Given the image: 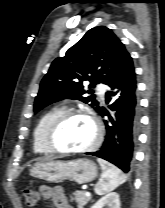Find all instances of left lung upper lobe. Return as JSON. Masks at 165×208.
I'll use <instances>...</instances> for the list:
<instances>
[{"label": "left lung upper lobe", "instance_id": "obj_1", "mask_svg": "<svg viewBox=\"0 0 165 208\" xmlns=\"http://www.w3.org/2000/svg\"><path fill=\"white\" fill-rule=\"evenodd\" d=\"M129 55L120 39L107 27L90 29L63 57L56 58L42 79L34 103L37 112L64 98L78 99L98 112L99 103L92 96L83 97V82L90 87L97 83L108 84Z\"/></svg>", "mask_w": 165, "mask_h": 208}]
</instances>
